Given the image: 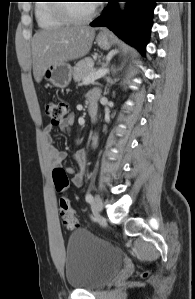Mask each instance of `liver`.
Returning <instances> with one entry per match:
<instances>
[{"instance_id": "6515ba94", "label": "liver", "mask_w": 195, "mask_h": 299, "mask_svg": "<svg viewBox=\"0 0 195 299\" xmlns=\"http://www.w3.org/2000/svg\"><path fill=\"white\" fill-rule=\"evenodd\" d=\"M95 29L88 26H65L40 30L32 39V63L35 81L40 83L45 69L79 59L88 54Z\"/></svg>"}]
</instances>
